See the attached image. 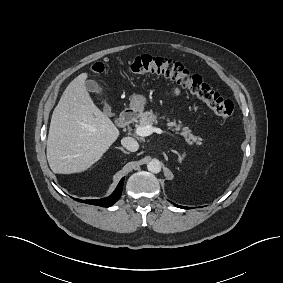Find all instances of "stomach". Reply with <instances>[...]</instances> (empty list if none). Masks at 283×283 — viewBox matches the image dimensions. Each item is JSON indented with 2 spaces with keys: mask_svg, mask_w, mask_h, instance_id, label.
<instances>
[{
  "mask_svg": "<svg viewBox=\"0 0 283 283\" xmlns=\"http://www.w3.org/2000/svg\"><path fill=\"white\" fill-rule=\"evenodd\" d=\"M147 99L142 94H134L130 99V109L135 113H140L144 110Z\"/></svg>",
  "mask_w": 283,
  "mask_h": 283,
  "instance_id": "0dacf381",
  "label": "stomach"
}]
</instances>
